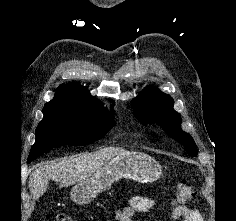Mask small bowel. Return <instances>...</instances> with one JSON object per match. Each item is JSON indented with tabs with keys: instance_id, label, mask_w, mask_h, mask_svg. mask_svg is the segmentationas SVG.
Wrapping results in <instances>:
<instances>
[{
	"instance_id": "small-bowel-1",
	"label": "small bowel",
	"mask_w": 236,
	"mask_h": 221,
	"mask_svg": "<svg viewBox=\"0 0 236 221\" xmlns=\"http://www.w3.org/2000/svg\"><path fill=\"white\" fill-rule=\"evenodd\" d=\"M157 206L158 202L153 198L132 197L125 208L115 211L113 221H133V217L137 213L154 210ZM171 217L174 220L182 218L183 221H203L197 209L189 208L185 205L176 206L172 210Z\"/></svg>"
}]
</instances>
